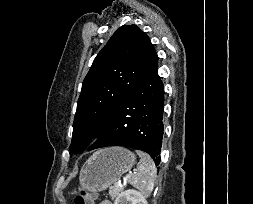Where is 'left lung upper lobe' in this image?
<instances>
[{
    "mask_svg": "<svg viewBox=\"0 0 253 204\" xmlns=\"http://www.w3.org/2000/svg\"><path fill=\"white\" fill-rule=\"evenodd\" d=\"M156 51L136 25L120 27L87 73L73 123L72 154L83 152L142 79Z\"/></svg>",
    "mask_w": 253,
    "mask_h": 204,
    "instance_id": "5c2ea615",
    "label": "left lung upper lobe"
}]
</instances>
